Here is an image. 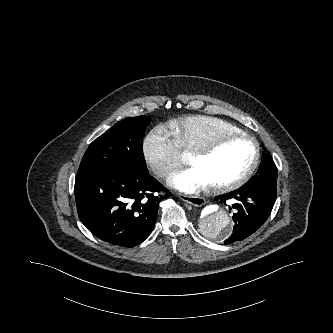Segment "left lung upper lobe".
Masks as SVG:
<instances>
[{
  "mask_svg": "<svg viewBox=\"0 0 333 333\" xmlns=\"http://www.w3.org/2000/svg\"><path fill=\"white\" fill-rule=\"evenodd\" d=\"M244 186L266 187L277 190V168L271 156L265 152L255 176H253Z\"/></svg>",
  "mask_w": 333,
  "mask_h": 333,
  "instance_id": "obj_1",
  "label": "left lung upper lobe"
}]
</instances>
